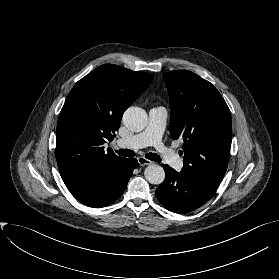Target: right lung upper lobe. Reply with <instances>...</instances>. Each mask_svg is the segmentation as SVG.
Segmentation results:
<instances>
[{
	"mask_svg": "<svg viewBox=\"0 0 279 279\" xmlns=\"http://www.w3.org/2000/svg\"><path fill=\"white\" fill-rule=\"evenodd\" d=\"M144 72L104 64L79 80L61 109L56 130L60 175L72 194L117 169L125 158L104 152L124 111L148 88Z\"/></svg>",
	"mask_w": 279,
	"mask_h": 279,
	"instance_id": "right-lung-upper-lobe-1",
	"label": "right lung upper lobe"
}]
</instances>
